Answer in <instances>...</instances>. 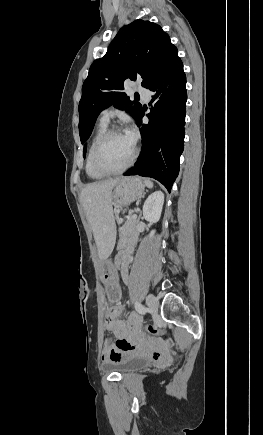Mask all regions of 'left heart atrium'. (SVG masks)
Wrapping results in <instances>:
<instances>
[{
	"instance_id": "obj_1",
	"label": "left heart atrium",
	"mask_w": 263,
	"mask_h": 435,
	"mask_svg": "<svg viewBox=\"0 0 263 435\" xmlns=\"http://www.w3.org/2000/svg\"><path fill=\"white\" fill-rule=\"evenodd\" d=\"M126 137L129 140V142L134 146L137 140V131L134 127H130L127 131H126Z\"/></svg>"
}]
</instances>
